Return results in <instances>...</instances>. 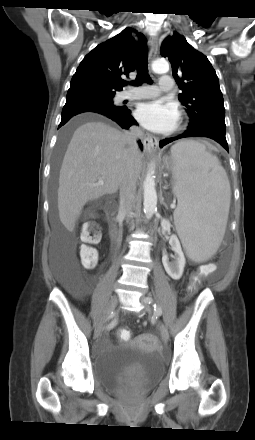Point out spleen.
I'll use <instances>...</instances> for the list:
<instances>
[{"label": "spleen", "instance_id": "spleen-1", "mask_svg": "<svg viewBox=\"0 0 255 440\" xmlns=\"http://www.w3.org/2000/svg\"><path fill=\"white\" fill-rule=\"evenodd\" d=\"M175 161L174 223L187 255L196 262L210 258L223 239L231 200L227 174L219 159L195 141L171 148Z\"/></svg>", "mask_w": 255, "mask_h": 440}]
</instances>
